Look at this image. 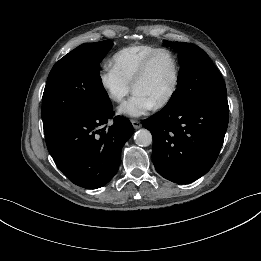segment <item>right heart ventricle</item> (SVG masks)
I'll list each match as a JSON object with an SVG mask.
<instances>
[{
  "label": "right heart ventricle",
  "mask_w": 261,
  "mask_h": 261,
  "mask_svg": "<svg viewBox=\"0 0 261 261\" xmlns=\"http://www.w3.org/2000/svg\"><path fill=\"white\" fill-rule=\"evenodd\" d=\"M158 48L149 44L124 47L113 54L110 59V66L131 84L144 59Z\"/></svg>",
  "instance_id": "right-heart-ventricle-1"
}]
</instances>
